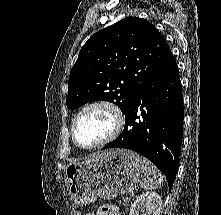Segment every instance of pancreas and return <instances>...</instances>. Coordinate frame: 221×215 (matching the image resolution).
I'll return each instance as SVG.
<instances>
[{
    "label": "pancreas",
    "instance_id": "pancreas-1",
    "mask_svg": "<svg viewBox=\"0 0 221 215\" xmlns=\"http://www.w3.org/2000/svg\"><path fill=\"white\" fill-rule=\"evenodd\" d=\"M120 203H121L123 206L127 207V206H128V203H129V200H128L127 198H125V199H123L122 201H120Z\"/></svg>",
    "mask_w": 221,
    "mask_h": 215
}]
</instances>
